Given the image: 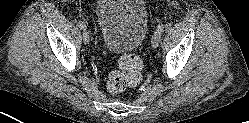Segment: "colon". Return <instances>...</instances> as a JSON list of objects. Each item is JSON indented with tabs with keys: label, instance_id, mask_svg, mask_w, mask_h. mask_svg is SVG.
<instances>
[{
	"label": "colon",
	"instance_id": "colon-1",
	"mask_svg": "<svg viewBox=\"0 0 249 123\" xmlns=\"http://www.w3.org/2000/svg\"><path fill=\"white\" fill-rule=\"evenodd\" d=\"M141 72L142 62L137 55L126 54L122 56L118 62V69L111 72L108 77V91L118 93L129 86L137 85L141 80Z\"/></svg>",
	"mask_w": 249,
	"mask_h": 123
}]
</instances>
